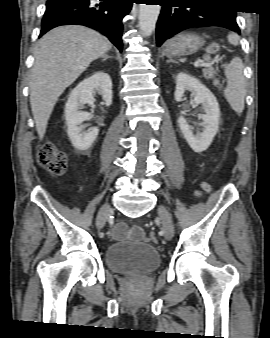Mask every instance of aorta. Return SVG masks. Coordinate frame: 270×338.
<instances>
[{
    "mask_svg": "<svg viewBox=\"0 0 270 338\" xmlns=\"http://www.w3.org/2000/svg\"><path fill=\"white\" fill-rule=\"evenodd\" d=\"M160 13L159 5L141 4L139 8V26L145 36H150L155 30Z\"/></svg>",
    "mask_w": 270,
    "mask_h": 338,
    "instance_id": "aorta-1",
    "label": "aorta"
}]
</instances>
